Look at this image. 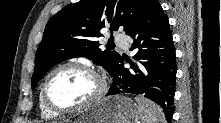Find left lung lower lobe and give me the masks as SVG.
Returning a JSON list of instances; mask_svg holds the SVG:
<instances>
[{"label":"left lung lower lobe","instance_id":"left-lung-lower-lobe-1","mask_svg":"<svg viewBox=\"0 0 221 123\" xmlns=\"http://www.w3.org/2000/svg\"><path fill=\"white\" fill-rule=\"evenodd\" d=\"M133 40L131 50L138 48L136 63L124 68L123 59L115 64L110 75L112 85L107 95L132 93L151 99L161 106L167 121L174 113L176 56L167 16L155 0L136 27L128 34Z\"/></svg>","mask_w":221,"mask_h":123}]
</instances>
